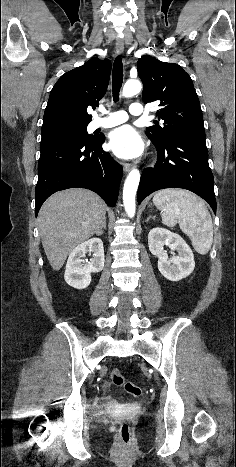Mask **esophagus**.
<instances>
[{
	"mask_svg": "<svg viewBox=\"0 0 236 467\" xmlns=\"http://www.w3.org/2000/svg\"><path fill=\"white\" fill-rule=\"evenodd\" d=\"M124 51V43L123 40L120 38H117L116 40V52L118 54H122ZM132 168V165L130 163H123V169L125 172L130 171Z\"/></svg>",
	"mask_w": 236,
	"mask_h": 467,
	"instance_id": "esophagus-1",
	"label": "esophagus"
}]
</instances>
